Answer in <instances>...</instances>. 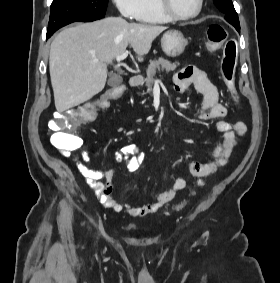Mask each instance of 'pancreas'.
Returning a JSON list of instances; mask_svg holds the SVG:
<instances>
[{"label":"pancreas","instance_id":"1","mask_svg":"<svg viewBox=\"0 0 280 283\" xmlns=\"http://www.w3.org/2000/svg\"><path fill=\"white\" fill-rule=\"evenodd\" d=\"M178 65V62L172 63L171 61L162 57H160L159 59L151 60L146 70L147 77L145 79V86L147 87V92L152 91V87L155 82L154 76L156 72H161L165 70L168 73L172 70H175Z\"/></svg>","mask_w":280,"mask_h":283}]
</instances>
